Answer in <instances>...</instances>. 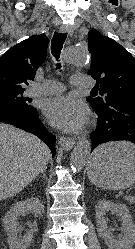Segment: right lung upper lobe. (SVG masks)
<instances>
[{"instance_id":"1","label":"right lung upper lobe","mask_w":135,"mask_h":249,"mask_svg":"<svg viewBox=\"0 0 135 249\" xmlns=\"http://www.w3.org/2000/svg\"><path fill=\"white\" fill-rule=\"evenodd\" d=\"M48 38L45 34L33 35L10 48L0 57V92L24 91L27 80L46 57Z\"/></svg>"}]
</instances>
